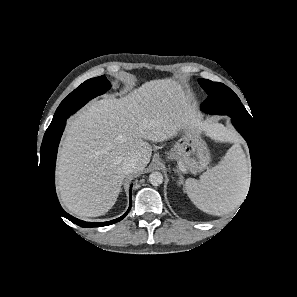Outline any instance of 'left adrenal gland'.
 <instances>
[{
	"instance_id": "left-adrenal-gland-1",
	"label": "left adrenal gland",
	"mask_w": 297,
	"mask_h": 297,
	"mask_svg": "<svg viewBox=\"0 0 297 297\" xmlns=\"http://www.w3.org/2000/svg\"><path fill=\"white\" fill-rule=\"evenodd\" d=\"M174 171L179 175L180 180L178 181V184L184 186V177H183V175L181 174V172L178 169H175ZM184 192H186L185 189H184Z\"/></svg>"
}]
</instances>
